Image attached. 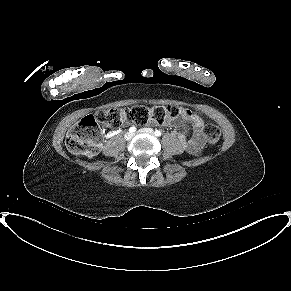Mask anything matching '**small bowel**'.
I'll return each instance as SVG.
<instances>
[{
  "label": "small bowel",
  "instance_id": "obj_1",
  "mask_svg": "<svg viewBox=\"0 0 291 291\" xmlns=\"http://www.w3.org/2000/svg\"><path fill=\"white\" fill-rule=\"evenodd\" d=\"M179 109V116L166 119L162 124L170 125L173 127H181L186 122L190 123L192 127V135L189 137L187 132H182L178 135V139L186 151L194 153L204 145V120L195 111L185 108ZM128 123L129 122L124 121L122 124L125 125Z\"/></svg>",
  "mask_w": 291,
  "mask_h": 291
}]
</instances>
